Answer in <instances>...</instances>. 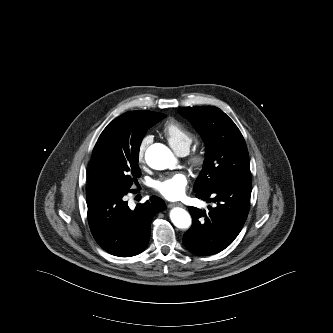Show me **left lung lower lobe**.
<instances>
[{"instance_id":"left-lung-lower-lobe-1","label":"left lung lower lobe","mask_w":333,"mask_h":333,"mask_svg":"<svg viewBox=\"0 0 333 333\" xmlns=\"http://www.w3.org/2000/svg\"><path fill=\"white\" fill-rule=\"evenodd\" d=\"M251 177L226 181L196 197L214 202L209 212L189 207L192 227L184 234L185 247L199 255H212L229 246L241 231L249 212Z\"/></svg>"}]
</instances>
